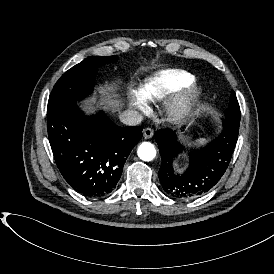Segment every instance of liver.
<instances>
[{
	"label": "liver",
	"instance_id": "6515ba94",
	"mask_svg": "<svg viewBox=\"0 0 274 274\" xmlns=\"http://www.w3.org/2000/svg\"><path fill=\"white\" fill-rule=\"evenodd\" d=\"M109 92H110L109 89H105L100 92V95H101L102 101H105L106 99H108V103L110 105L109 110L111 112H115L119 108L117 107L116 103L113 100H111V96L109 95Z\"/></svg>",
	"mask_w": 274,
	"mask_h": 274
}]
</instances>
